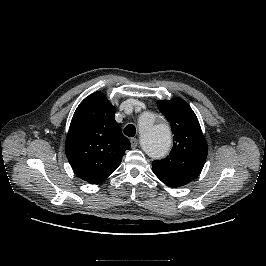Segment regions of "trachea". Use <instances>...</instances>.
Returning a JSON list of instances; mask_svg holds the SVG:
<instances>
[{"label": "trachea", "instance_id": "3493384b", "mask_svg": "<svg viewBox=\"0 0 266 266\" xmlns=\"http://www.w3.org/2000/svg\"><path fill=\"white\" fill-rule=\"evenodd\" d=\"M124 134L128 137H134L136 134V128L133 124H129L124 128Z\"/></svg>", "mask_w": 266, "mask_h": 266}]
</instances>
